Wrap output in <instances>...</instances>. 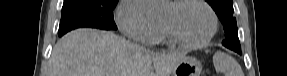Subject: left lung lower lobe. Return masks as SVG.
I'll return each instance as SVG.
<instances>
[{
  "instance_id": "obj_1",
  "label": "left lung lower lobe",
  "mask_w": 287,
  "mask_h": 76,
  "mask_svg": "<svg viewBox=\"0 0 287 76\" xmlns=\"http://www.w3.org/2000/svg\"><path fill=\"white\" fill-rule=\"evenodd\" d=\"M237 53L241 54V50H236Z\"/></svg>"
}]
</instances>
